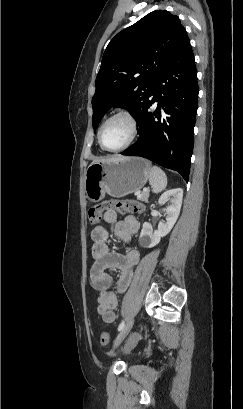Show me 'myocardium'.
Masks as SVG:
<instances>
[{"label":"myocardium","mask_w":243,"mask_h":409,"mask_svg":"<svg viewBox=\"0 0 243 409\" xmlns=\"http://www.w3.org/2000/svg\"><path fill=\"white\" fill-rule=\"evenodd\" d=\"M117 118H123L125 120L128 121L129 125H130V129H131V134L129 139L127 140V142L125 144H123L122 146L115 148V149H110L108 147H106L102 141V131L103 128L105 127V125L107 123H109L110 121L117 119ZM138 131H139V126H138V121L136 119V117L133 115V113H131L129 110L126 109H121L118 110L116 112H114L113 114H111L110 116H108L100 125L99 130H98V134H97V139L98 142L101 146L102 149H104L105 151H109V152H120L124 149H126L127 147H129L134 140L136 139L137 135H138Z\"/></svg>","instance_id":"myocardium-1"}]
</instances>
